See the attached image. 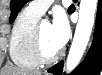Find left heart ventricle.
<instances>
[{"label":"left heart ventricle","mask_w":102,"mask_h":75,"mask_svg":"<svg viewBox=\"0 0 102 75\" xmlns=\"http://www.w3.org/2000/svg\"><path fill=\"white\" fill-rule=\"evenodd\" d=\"M41 44L45 54L48 56L55 54L61 48L55 42L51 31V25L47 22L41 24Z\"/></svg>","instance_id":"1"}]
</instances>
